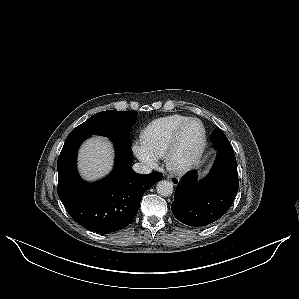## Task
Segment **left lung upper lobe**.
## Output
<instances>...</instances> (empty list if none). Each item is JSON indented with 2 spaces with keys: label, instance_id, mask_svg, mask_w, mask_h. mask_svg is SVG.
Instances as JSON below:
<instances>
[{
  "label": "left lung upper lobe",
  "instance_id": "5c2ea615",
  "mask_svg": "<svg viewBox=\"0 0 299 299\" xmlns=\"http://www.w3.org/2000/svg\"><path fill=\"white\" fill-rule=\"evenodd\" d=\"M211 141L213 143H219L223 146L231 145L229 140L220 128L215 129L214 133L212 134Z\"/></svg>",
  "mask_w": 299,
  "mask_h": 299
}]
</instances>
